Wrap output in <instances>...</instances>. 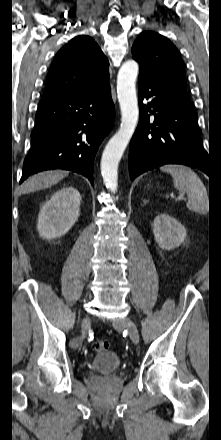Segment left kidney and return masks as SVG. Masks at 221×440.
I'll list each match as a JSON object with an SVG mask.
<instances>
[{
	"instance_id": "1",
	"label": "left kidney",
	"mask_w": 221,
	"mask_h": 440,
	"mask_svg": "<svg viewBox=\"0 0 221 440\" xmlns=\"http://www.w3.org/2000/svg\"><path fill=\"white\" fill-rule=\"evenodd\" d=\"M153 233L159 247L170 250L186 239V229L175 218L162 213L154 219Z\"/></svg>"
}]
</instances>
